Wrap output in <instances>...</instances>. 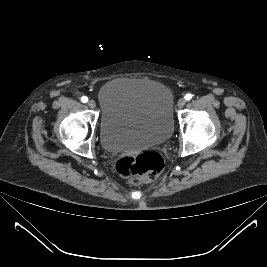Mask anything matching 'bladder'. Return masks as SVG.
<instances>
[{
	"label": "bladder",
	"mask_w": 267,
	"mask_h": 267,
	"mask_svg": "<svg viewBox=\"0 0 267 267\" xmlns=\"http://www.w3.org/2000/svg\"><path fill=\"white\" fill-rule=\"evenodd\" d=\"M98 100L100 140L109 152L162 144L172 135L173 96L160 82L113 79L100 88Z\"/></svg>",
	"instance_id": "obj_1"
}]
</instances>
